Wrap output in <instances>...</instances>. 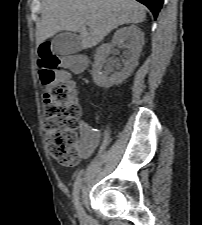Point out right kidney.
Returning a JSON list of instances; mask_svg holds the SVG:
<instances>
[{
	"mask_svg": "<svg viewBox=\"0 0 202 225\" xmlns=\"http://www.w3.org/2000/svg\"><path fill=\"white\" fill-rule=\"evenodd\" d=\"M143 44L144 34L136 25L118 29L112 38V42L101 45L97 50L92 71L95 84L103 88H109L126 80L138 64ZM114 45L127 49L123 53L124 65L112 58L107 66H104L106 57ZM114 68L119 71L115 72Z\"/></svg>",
	"mask_w": 202,
	"mask_h": 225,
	"instance_id": "right-kidney-1",
	"label": "right kidney"
}]
</instances>
